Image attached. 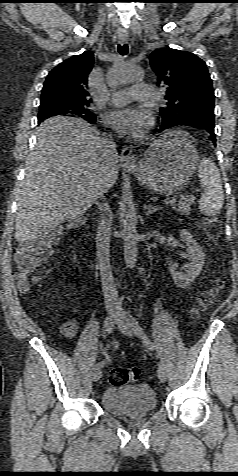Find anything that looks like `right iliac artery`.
Returning a JSON list of instances; mask_svg holds the SVG:
<instances>
[{
	"label": "right iliac artery",
	"instance_id": "82829eb1",
	"mask_svg": "<svg viewBox=\"0 0 238 476\" xmlns=\"http://www.w3.org/2000/svg\"><path fill=\"white\" fill-rule=\"evenodd\" d=\"M113 325H114V322H113V319L111 316H108L105 321H104V327H105V330L107 331V333H109L110 335H113L114 334V331L112 330L113 329ZM105 364V361H102V362H99L95 365V369H98V368H101L103 367V365Z\"/></svg>",
	"mask_w": 238,
	"mask_h": 476
}]
</instances>
